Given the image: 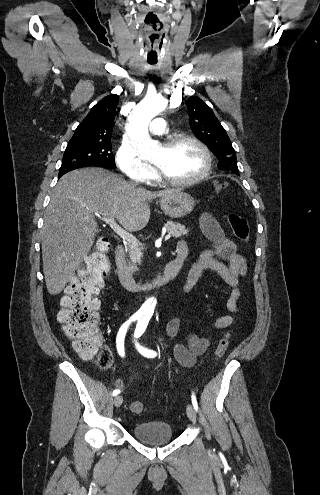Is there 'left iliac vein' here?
Wrapping results in <instances>:
<instances>
[{
    "label": "left iliac vein",
    "instance_id": "4c4485c4",
    "mask_svg": "<svg viewBox=\"0 0 320 495\" xmlns=\"http://www.w3.org/2000/svg\"><path fill=\"white\" fill-rule=\"evenodd\" d=\"M186 412H187L189 419L195 424L196 423V412H195L194 407L191 404H189L187 406Z\"/></svg>",
    "mask_w": 320,
    "mask_h": 495
}]
</instances>
